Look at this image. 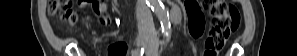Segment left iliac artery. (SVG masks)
I'll list each match as a JSON object with an SVG mask.
<instances>
[{"label":"left iliac artery","instance_id":"44dca946","mask_svg":"<svg viewBox=\"0 0 297 56\" xmlns=\"http://www.w3.org/2000/svg\"><path fill=\"white\" fill-rule=\"evenodd\" d=\"M170 41V35L169 34H167L166 35V39H165V41L163 42V46H165L168 42ZM163 50V47L161 48V51Z\"/></svg>","mask_w":297,"mask_h":56}]
</instances>
